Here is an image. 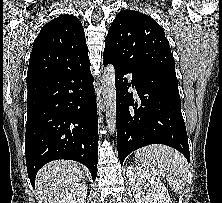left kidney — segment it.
Instances as JSON below:
<instances>
[{
	"label": "left kidney",
	"mask_w": 222,
	"mask_h": 203,
	"mask_svg": "<svg viewBox=\"0 0 222 203\" xmlns=\"http://www.w3.org/2000/svg\"><path fill=\"white\" fill-rule=\"evenodd\" d=\"M126 174L136 203H171L168 189L150 171L131 164Z\"/></svg>",
	"instance_id": "obj_1"
}]
</instances>
